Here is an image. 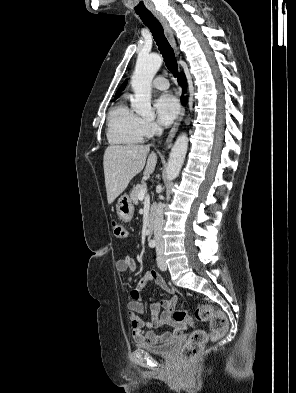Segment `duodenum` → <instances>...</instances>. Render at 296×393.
Here are the masks:
<instances>
[{"label":"duodenum","mask_w":296,"mask_h":393,"mask_svg":"<svg viewBox=\"0 0 296 393\" xmlns=\"http://www.w3.org/2000/svg\"><path fill=\"white\" fill-rule=\"evenodd\" d=\"M153 213H154V210L152 209L151 212H150L149 223H148V229H147V237H148V238L152 237L153 231H154Z\"/></svg>","instance_id":"410a0bca"}]
</instances>
